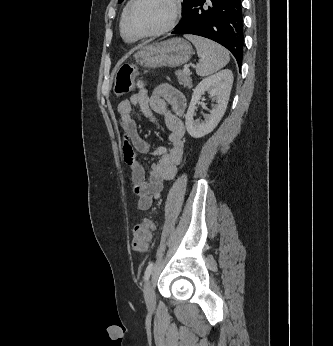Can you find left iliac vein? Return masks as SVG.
Listing matches in <instances>:
<instances>
[{"instance_id": "left-iliac-vein-1", "label": "left iliac vein", "mask_w": 333, "mask_h": 346, "mask_svg": "<svg viewBox=\"0 0 333 346\" xmlns=\"http://www.w3.org/2000/svg\"><path fill=\"white\" fill-rule=\"evenodd\" d=\"M144 298L148 310L153 311L156 306V297L151 281H148L144 287Z\"/></svg>"}]
</instances>
